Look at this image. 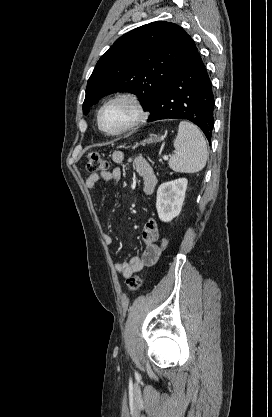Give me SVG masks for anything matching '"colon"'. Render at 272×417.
Wrapping results in <instances>:
<instances>
[{
    "label": "colon",
    "instance_id": "1",
    "mask_svg": "<svg viewBox=\"0 0 272 417\" xmlns=\"http://www.w3.org/2000/svg\"><path fill=\"white\" fill-rule=\"evenodd\" d=\"M86 170L92 173L105 172L109 168L108 161L98 152H90L85 163ZM168 246V239L163 238L157 243V248L164 251ZM127 288L130 291H137L142 286V277L133 275L127 279Z\"/></svg>",
    "mask_w": 272,
    "mask_h": 417
}]
</instances>
